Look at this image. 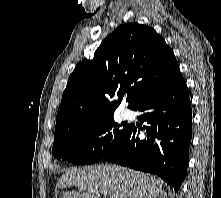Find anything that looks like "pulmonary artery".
I'll return each instance as SVG.
<instances>
[{
	"label": "pulmonary artery",
	"mask_w": 221,
	"mask_h": 198,
	"mask_svg": "<svg viewBox=\"0 0 221 198\" xmlns=\"http://www.w3.org/2000/svg\"><path fill=\"white\" fill-rule=\"evenodd\" d=\"M121 115L124 119H128L132 116V111L125 108V109L122 110Z\"/></svg>",
	"instance_id": "e3ab8cb5"
}]
</instances>
